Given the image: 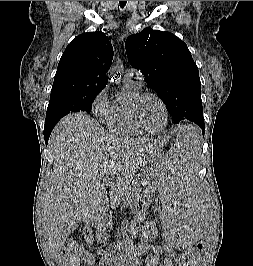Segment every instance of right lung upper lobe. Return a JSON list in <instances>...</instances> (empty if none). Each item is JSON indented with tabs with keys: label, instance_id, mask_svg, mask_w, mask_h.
<instances>
[{
	"label": "right lung upper lobe",
	"instance_id": "obj_1",
	"mask_svg": "<svg viewBox=\"0 0 253 266\" xmlns=\"http://www.w3.org/2000/svg\"><path fill=\"white\" fill-rule=\"evenodd\" d=\"M113 59V47L103 32L77 36L58 64L50 97L102 91Z\"/></svg>",
	"mask_w": 253,
	"mask_h": 266
}]
</instances>
